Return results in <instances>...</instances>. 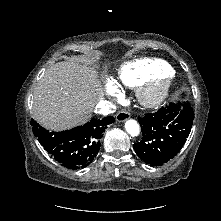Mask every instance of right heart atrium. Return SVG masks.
<instances>
[{
  "label": "right heart atrium",
  "mask_w": 221,
  "mask_h": 221,
  "mask_svg": "<svg viewBox=\"0 0 221 221\" xmlns=\"http://www.w3.org/2000/svg\"><path fill=\"white\" fill-rule=\"evenodd\" d=\"M107 92L112 97H116L118 95L119 92L118 87L113 81H108Z\"/></svg>",
  "instance_id": "1"
}]
</instances>
